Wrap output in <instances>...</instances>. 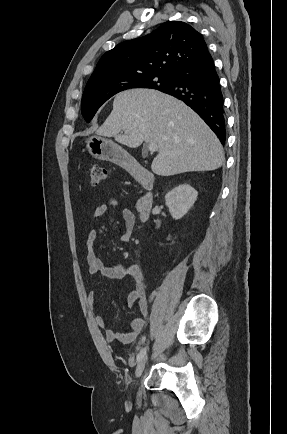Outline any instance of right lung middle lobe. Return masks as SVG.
Instances as JSON below:
<instances>
[{"label": "right lung middle lobe", "instance_id": "dd1d6c3e", "mask_svg": "<svg viewBox=\"0 0 287 434\" xmlns=\"http://www.w3.org/2000/svg\"><path fill=\"white\" fill-rule=\"evenodd\" d=\"M175 78L169 75L146 74L88 82L81 102L82 115L87 122H90L101 105L116 93L131 88L166 89L173 85Z\"/></svg>", "mask_w": 287, "mask_h": 434}]
</instances>
